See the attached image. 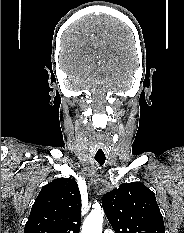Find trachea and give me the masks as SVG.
I'll use <instances>...</instances> for the list:
<instances>
[{
    "instance_id": "1",
    "label": "trachea",
    "mask_w": 184,
    "mask_h": 233,
    "mask_svg": "<svg viewBox=\"0 0 184 233\" xmlns=\"http://www.w3.org/2000/svg\"><path fill=\"white\" fill-rule=\"evenodd\" d=\"M95 160L99 165H103L106 160L105 149L102 146H97L95 149Z\"/></svg>"
}]
</instances>
